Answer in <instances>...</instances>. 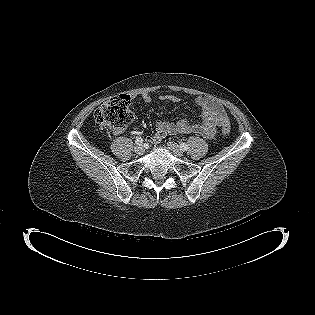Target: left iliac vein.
Segmentation results:
<instances>
[{
    "instance_id": "4c4485c4",
    "label": "left iliac vein",
    "mask_w": 315,
    "mask_h": 315,
    "mask_svg": "<svg viewBox=\"0 0 315 315\" xmlns=\"http://www.w3.org/2000/svg\"><path fill=\"white\" fill-rule=\"evenodd\" d=\"M168 149L177 157L183 156V150L175 142L169 141L167 143Z\"/></svg>"
}]
</instances>
